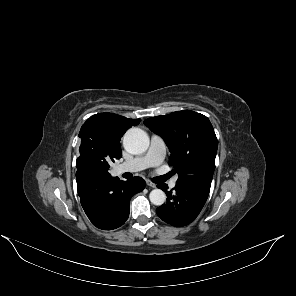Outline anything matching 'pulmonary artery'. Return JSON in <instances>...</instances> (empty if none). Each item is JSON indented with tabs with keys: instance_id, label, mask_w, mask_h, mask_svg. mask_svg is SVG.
<instances>
[{
	"instance_id": "e3ab8cb5",
	"label": "pulmonary artery",
	"mask_w": 296,
	"mask_h": 296,
	"mask_svg": "<svg viewBox=\"0 0 296 296\" xmlns=\"http://www.w3.org/2000/svg\"><path fill=\"white\" fill-rule=\"evenodd\" d=\"M166 154V145L164 140L153 134L150 139V147L147 153L140 157H135L129 161H126L118 165L115 169L117 174L125 172H137L149 167L158 166L162 163ZM176 186V179L169 182V187L174 188Z\"/></svg>"
}]
</instances>
